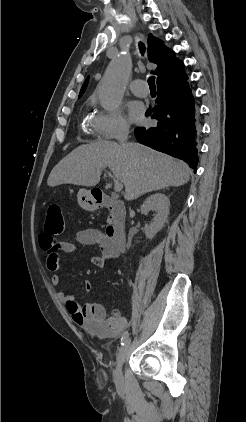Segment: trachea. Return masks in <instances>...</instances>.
Instances as JSON below:
<instances>
[{
    "label": "trachea",
    "mask_w": 246,
    "mask_h": 422,
    "mask_svg": "<svg viewBox=\"0 0 246 422\" xmlns=\"http://www.w3.org/2000/svg\"><path fill=\"white\" fill-rule=\"evenodd\" d=\"M139 49H140L141 54L143 55L144 52H145V46L141 42L139 43ZM148 85H149L151 90H156L155 77L154 76H151V77L148 78Z\"/></svg>",
    "instance_id": "obj_1"
}]
</instances>
